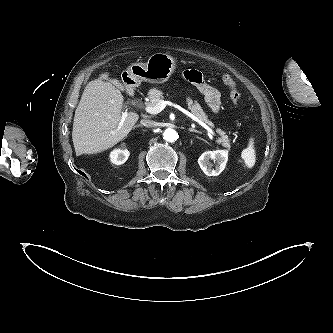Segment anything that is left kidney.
<instances>
[{
    "instance_id": "obj_1",
    "label": "left kidney",
    "mask_w": 333,
    "mask_h": 333,
    "mask_svg": "<svg viewBox=\"0 0 333 333\" xmlns=\"http://www.w3.org/2000/svg\"><path fill=\"white\" fill-rule=\"evenodd\" d=\"M210 160L215 162V169L211 168ZM227 160L228 152L226 150L206 151L199 157L198 164L207 176H217L224 170Z\"/></svg>"
}]
</instances>
